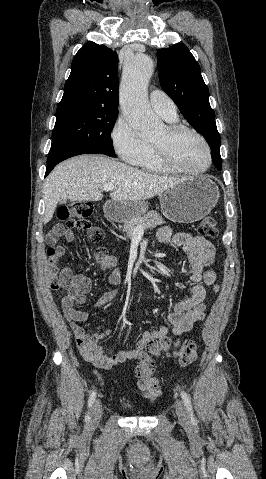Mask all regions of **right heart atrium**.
Wrapping results in <instances>:
<instances>
[{
    "label": "right heart atrium",
    "mask_w": 266,
    "mask_h": 479,
    "mask_svg": "<svg viewBox=\"0 0 266 479\" xmlns=\"http://www.w3.org/2000/svg\"><path fill=\"white\" fill-rule=\"evenodd\" d=\"M110 137L115 152L124 162L136 164L146 152V141L123 116L116 119Z\"/></svg>",
    "instance_id": "d8ad5b80"
}]
</instances>
